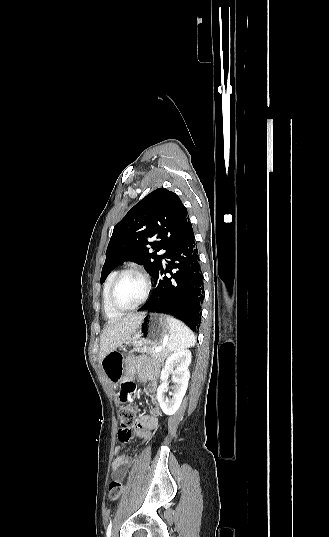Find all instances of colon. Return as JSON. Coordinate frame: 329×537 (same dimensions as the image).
<instances>
[{
    "label": "colon",
    "instance_id": "colon-1",
    "mask_svg": "<svg viewBox=\"0 0 329 537\" xmlns=\"http://www.w3.org/2000/svg\"><path fill=\"white\" fill-rule=\"evenodd\" d=\"M134 399L130 400L129 404ZM136 409L131 406H124L120 410V431H131V428L137 424ZM119 431V432H120ZM123 492V484L119 480H112L109 484V498L117 500Z\"/></svg>",
    "mask_w": 329,
    "mask_h": 537
}]
</instances>
